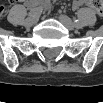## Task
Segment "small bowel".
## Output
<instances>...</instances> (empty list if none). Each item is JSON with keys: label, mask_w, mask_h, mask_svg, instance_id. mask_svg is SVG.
Instances as JSON below:
<instances>
[{"label": "small bowel", "mask_w": 103, "mask_h": 103, "mask_svg": "<svg viewBox=\"0 0 103 103\" xmlns=\"http://www.w3.org/2000/svg\"><path fill=\"white\" fill-rule=\"evenodd\" d=\"M24 4L28 7L40 6V7L44 8L45 10L49 9V4L45 1L26 0V1H24ZM83 5H84L83 1H74L73 2V8H80ZM4 12H5V8H4Z\"/></svg>", "instance_id": "1"}]
</instances>
